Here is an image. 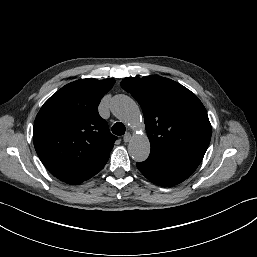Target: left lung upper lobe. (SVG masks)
Returning <instances> with one entry per match:
<instances>
[{
	"mask_svg": "<svg viewBox=\"0 0 257 257\" xmlns=\"http://www.w3.org/2000/svg\"><path fill=\"white\" fill-rule=\"evenodd\" d=\"M121 86L142 108L151 144L149 156L203 159L212 129L207 111L194 93L160 76L126 78Z\"/></svg>",
	"mask_w": 257,
	"mask_h": 257,
	"instance_id": "1",
	"label": "left lung upper lobe"
}]
</instances>
